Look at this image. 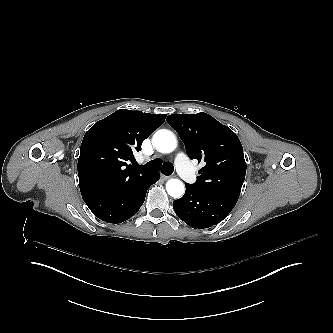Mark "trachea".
Segmentation results:
<instances>
[{
	"label": "trachea",
	"instance_id": "trachea-1",
	"mask_svg": "<svg viewBox=\"0 0 333 333\" xmlns=\"http://www.w3.org/2000/svg\"><path fill=\"white\" fill-rule=\"evenodd\" d=\"M137 167H140L141 169H144V170H150V171L161 170V172L167 176L172 174V172L174 171V167L171 163L162 164L160 159H154L143 166L137 165Z\"/></svg>",
	"mask_w": 333,
	"mask_h": 333
}]
</instances>
